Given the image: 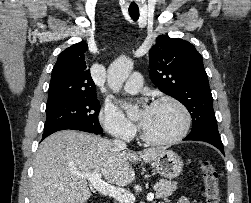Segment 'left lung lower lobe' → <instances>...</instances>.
I'll list each match as a JSON object with an SVG mask.
<instances>
[{
  "label": "left lung lower lobe",
  "instance_id": "left-lung-lower-lobe-1",
  "mask_svg": "<svg viewBox=\"0 0 251 203\" xmlns=\"http://www.w3.org/2000/svg\"><path fill=\"white\" fill-rule=\"evenodd\" d=\"M183 140H197V141L208 142L212 144L213 146H215L216 148H218L224 154V148H223V144H222L220 136H213V135H207V134L188 135Z\"/></svg>",
  "mask_w": 251,
  "mask_h": 203
}]
</instances>
